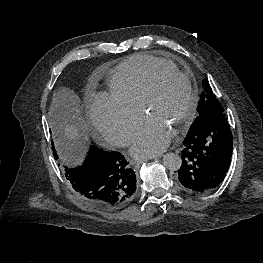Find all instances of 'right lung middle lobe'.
Listing matches in <instances>:
<instances>
[{
    "label": "right lung middle lobe",
    "mask_w": 263,
    "mask_h": 263,
    "mask_svg": "<svg viewBox=\"0 0 263 263\" xmlns=\"http://www.w3.org/2000/svg\"><path fill=\"white\" fill-rule=\"evenodd\" d=\"M52 150H53V155L57 160L62 173L65 175V173L68 171V167H72V166H70L66 156H64L63 154V141L56 136H55V144L54 142H52Z\"/></svg>",
    "instance_id": "obj_1"
}]
</instances>
